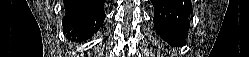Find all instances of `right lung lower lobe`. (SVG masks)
Listing matches in <instances>:
<instances>
[{"label":"right lung lower lobe","mask_w":249,"mask_h":57,"mask_svg":"<svg viewBox=\"0 0 249 57\" xmlns=\"http://www.w3.org/2000/svg\"><path fill=\"white\" fill-rule=\"evenodd\" d=\"M104 2L105 0L64 1V30L71 32L77 41L90 39L105 19Z\"/></svg>","instance_id":"98d812e1"}]
</instances>
